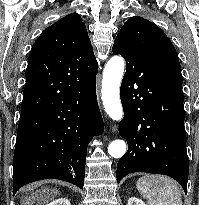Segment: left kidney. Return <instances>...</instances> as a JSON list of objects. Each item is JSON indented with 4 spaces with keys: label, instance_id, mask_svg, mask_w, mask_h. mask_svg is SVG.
Listing matches in <instances>:
<instances>
[{
    "label": "left kidney",
    "instance_id": "1",
    "mask_svg": "<svg viewBox=\"0 0 199 205\" xmlns=\"http://www.w3.org/2000/svg\"><path fill=\"white\" fill-rule=\"evenodd\" d=\"M127 205H146V204L139 198L131 197L128 199Z\"/></svg>",
    "mask_w": 199,
    "mask_h": 205
}]
</instances>
